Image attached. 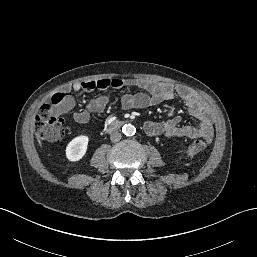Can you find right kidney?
Masks as SVG:
<instances>
[{"instance_id": "obj_1", "label": "right kidney", "mask_w": 257, "mask_h": 257, "mask_svg": "<svg viewBox=\"0 0 257 257\" xmlns=\"http://www.w3.org/2000/svg\"><path fill=\"white\" fill-rule=\"evenodd\" d=\"M89 138L80 135L71 140L66 147V157L69 161H79L83 158L87 151Z\"/></svg>"}]
</instances>
